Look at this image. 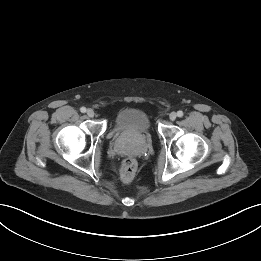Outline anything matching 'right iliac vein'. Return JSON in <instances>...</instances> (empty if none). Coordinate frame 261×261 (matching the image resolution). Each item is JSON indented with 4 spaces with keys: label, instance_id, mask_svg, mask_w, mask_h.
Instances as JSON below:
<instances>
[{
    "label": "right iliac vein",
    "instance_id": "63e3f726",
    "mask_svg": "<svg viewBox=\"0 0 261 261\" xmlns=\"http://www.w3.org/2000/svg\"><path fill=\"white\" fill-rule=\"evenodd\" d=\"M87 115H88L90 118H92V117H94L95 113H94V111H93L92 109H88V110H87Z\"/></svg>",
    "mask_w": 261,
    "mask_h": 261
}]
</instances>
